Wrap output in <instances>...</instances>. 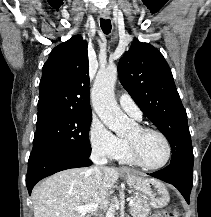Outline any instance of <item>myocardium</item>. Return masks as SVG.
<instances>
[{
  "instance_id": "1",
  "label": "myocardium",
  "mask_w": 211,
  "mask_h": 217,
  "mask_svg": "<svg viewBox=\"0 0 211 217\" xmlns=\"http://www.w3.org/2000/svg\"><path fill=\"white\" fill-rule=\"evenodd\" d=\"M138 130L140 132V134H146V133H156L158 134L164 141L165 145H166V149H167V155L165 160L159 164V165H148L146 164L141 156L140 153L138 151V147L137 144L129 139H127V145H128V151H129V155L133 161V163H135L136 165L147 169V170H159L164 168L170 161L171 159V155H172V148H171V144L169 142V139L167 138V136L160 131L159 129L153 128V127H148V126H139Z\"/></svg>"
}]
</instances>
